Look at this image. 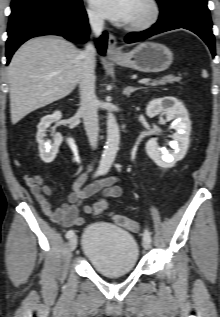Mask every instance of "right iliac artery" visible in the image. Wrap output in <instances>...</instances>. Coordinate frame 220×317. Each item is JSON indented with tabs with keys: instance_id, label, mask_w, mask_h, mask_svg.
<instances>
[{
	"instance_id": "82829eb1",
	"label": "right iliac artery",
	"mask_w": 220,
	"mask_h": 317,
	"mask_svg": "<svg viewBox=\"0 0 220 317\" xmlns=\"http://www.w3.org/2000/svg\"><path fill=\"white\" fill-rule=\"evenodd\" d=\"M101 174V172H96L95 173V176H98V175H100ZM74 236V231L73 230H69L67 233H66V238H71V237H73Z\"/></svg>"
}]
</instances>
